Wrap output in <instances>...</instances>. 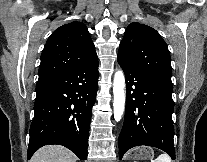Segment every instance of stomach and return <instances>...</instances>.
Returning <instances> with one entry per match:
<instances>
[{
  "mask_svg": "<svg viewBox=\"0 0 207 162\" xmlns=\"http://www.w3.org/2000/svg\"><path fill=\"white\" fill-rule=\"evenodd\" d=\"M153 155H154V152L152 148L146 147V146L138 147L133 152V156L136 159H140V160L152 158Z\"/></svg>",
  "mask_w": 207,
  "mask_h": 162,
  "instance_id": "stomach-1",
  "label": "stomach"
}]
</instances>
